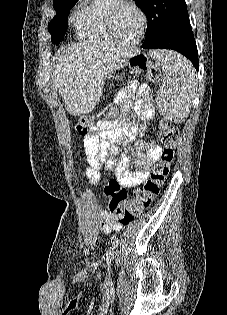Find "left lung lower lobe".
<instances>
[{"mask_svg":"<svg viewBox=\"0 0 227 315\" xmlns=\"http://www.w3.org/2000/svg\"><path fill=\"white\" fill-rule=\"evenodd\" d=\"M145 49H171L185 55L198 71V51L189 20L172 25L154 39L144 41Z\"/></svg>","mask_w":227,"mask_h":315,"instance_id":"1","label":"left lung lower lobe"}]
</instances>
